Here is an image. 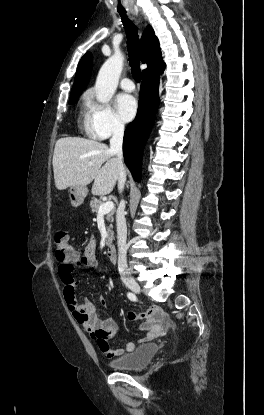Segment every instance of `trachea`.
<instances>
[{"mask_svg": "<svg viewBox=\"0 0 264 415\" xmlns=\"http://www.w3.org/2000/svg\"><path fill=\"white\" fill-rule=\"evenodd\" d=\"M122 23L124 25L127 35V47L128 56L131 71L134 79L137 82L141 80V69H140V54H139V42H138V31L136 26L127 17L125 12H119Z\"/></svg>", "mask_w": 264, "mask_h": 415, "instance_id": "1", "label": "trachea"}]
</instances>
